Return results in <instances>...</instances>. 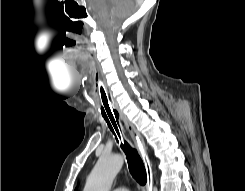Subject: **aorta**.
I'll return each mask as SVG.
<instances>
[{
  "label": "aorta",
  "instance_id": "aorta-1",
  "mask_svg": "<svg viewBox=\"0 0 245 191\" xmlns=\"http://www.w3.org/2000/svg\"><path fill=\"white\" fill-rule=\"evenodd\" d=\"M123 163L124 159L120 154L101 156L88 176L84 191H110Z\"/></svg>",
  "mask_w": 245,
  "mask_h": 191
}]
</instances>
